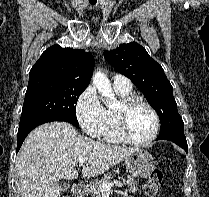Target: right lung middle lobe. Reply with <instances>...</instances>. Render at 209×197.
Returning a JSON list of instances; mask_svg holds the SVG:
<instances>
[{
    "label": "right lung middle lobe",
    "instance_id": "dd1d6c3e",
    "mask_svg": "<svg viewBox=\"0 0 209 197\" xmlns=\"http://www.w3.org/2000/svg\"><path fill=\"white\" fill-rule=\"evenodd\" d=\"M86 87L71 82H29L19 127L49 118L64 119L79 126L75 104Z\"/></svg>",
    "mask_w": 209,
    "mask_h": 197
}]
</instances>
